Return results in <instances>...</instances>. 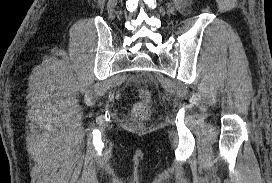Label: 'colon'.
I'll return each instance as SVG.
<instances>
[{"label": "colon", "mask_w": 272, "mask_h": 183, "mask_svg": "<svg viewBox=\"0 0 272 183\" xmlns=\"http://www.w3.org/2000/svg\"><path fill=\"white\" fill-rule=\"evenodd\" d=\"M141 95L144 98V100L147 102L149 100V93L145 90L141 91ZM136 112L140 116H144L148 113V108L146 103H141L136 106Z\"/></svg>", "instance_id": "5ec220e1"}]
</instances>
